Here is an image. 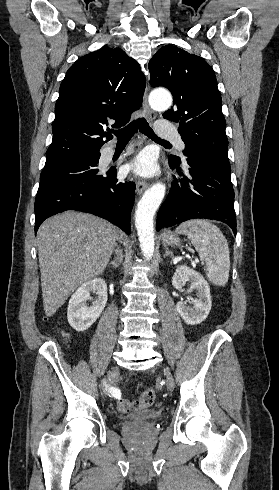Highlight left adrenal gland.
<instances>
[{"label": "left adrenal gland", "mask_w": 279, "mask_h": 490, "mask_svg": "<svg viewBox=\"0 0 279 490\" xmlns=\"http://www.w3.org/2000/svg\"><path fill=\"white\" fill-rule=\"evenodd\" d=\"M167 256H170L171 260H174V254H173V252H169V248H166V252H165L163 258H167Z\"/></svg>", "instance_id": "left-adrenal-gland-1"}]
</instances>
